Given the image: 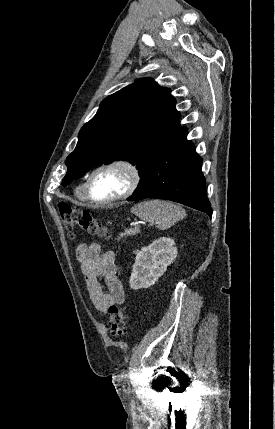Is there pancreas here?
Wrapping results in <instances>:
<instances>
[{
	"mask_svg": "<svg viewBox=\"0 0 275 429\" xmlns=\"http://www.w3.org/2000/svg\"><path fill=\"white\" fill-rule=\"evenodd\" d=\"M139 232H140L139 228L128 229L124 233L120 234L119 239H122L123 237L134 236V235L138 234Z\"/></svg>",
	"mask_w": 275,
	"mask_h": 429,
	"instance_id": "1",
	"label": "pancreas"
}]
</instances>
